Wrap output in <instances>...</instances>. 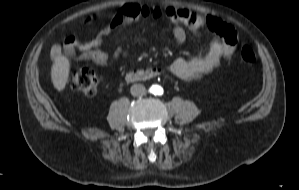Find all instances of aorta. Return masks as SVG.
Wrapping results in <instances>:
<instances>
[{
	"label": "aorta",
	"mask_w": 299,
	"mask_h": 190,
	"mask_svg": "<svg viewBox=\"0 0 299 190\" xmlns=\"http://www.w3.org/2000/svg\"><path fill=\"white\" fill-rule=\"evenodd\" d=\"M160 89L161 88L159 86H154L153 87V93H155V94L158 93Z\"/></svg>",
	"instance_id": "aorta-1"
}]
</instances>
